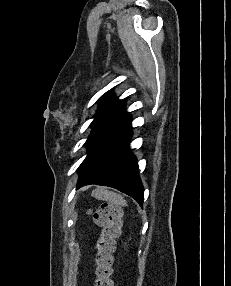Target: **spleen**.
<instances>
[{
    "label": "spleen",
    "mask_w": 231,
    "mask_h": 286,
    "mask_svg": "<svg viewBox=\"0 0 231 286\" xmlns=\"http://www.w3.org/2000/svg\"><path fill=\"white\" fill-rule=\"evenodd\" d=\"M92 195L99 200L107 201L112 205L127 206V201L120 195L107 189H95Z\"/></svg>",
    "instance_id": "spleen-1"
}]
</instances>
